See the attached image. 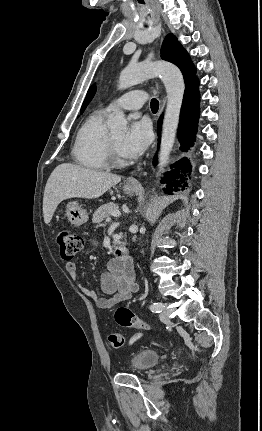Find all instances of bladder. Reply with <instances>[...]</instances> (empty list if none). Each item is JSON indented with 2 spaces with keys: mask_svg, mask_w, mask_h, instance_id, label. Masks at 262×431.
Instances as JSON below:
<instances>
[{
  "mask_svg": "<svg viewBox=\"0 0 262 431\" xmlns=\"http://www.w3.org/2000/svg\"><path fill=\"white\" fill-rule=\"evenodd\" d=\"M160 358V354L154 349L143 347L132 355L130 366L134 372L142 373L155 366Z\"/></svg>",
  "mask_w": 262,
  "mask_h": 431,
  "instance_id": "obj_1",
  "label": "bladder"
}]
</instances>
